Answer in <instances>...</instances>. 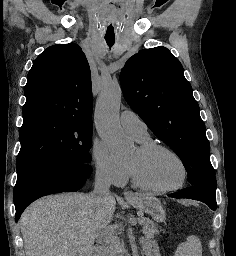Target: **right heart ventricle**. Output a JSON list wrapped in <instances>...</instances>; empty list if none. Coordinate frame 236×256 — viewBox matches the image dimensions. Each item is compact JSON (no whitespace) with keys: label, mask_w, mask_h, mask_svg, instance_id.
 Returning <instances> with one entry per match:
<instances>
[{"label":"right heart ventricle","mask_w":236,"mask_h":256,"mask_svg":"<svg viewBox=\"0 0 236 256\" xmlns=\"http://www.w3.org/2000/svg\"><path fill=\"white\" fill-rule=\"evenodd\" d=\"M141 144H146V143H149V142H151V140H150V138L148 137V138H146V139H144V140H142V141H139Z\"/></svg>","instance_id":"right-heart-ventricle-1"}]
</instances>
